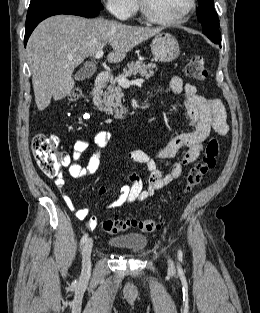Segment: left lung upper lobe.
<instances>
[{
	"label": "left lung upper lobe",
	"instance_id": "1",
	"mask_svg": "<svg viewBox=\"0 0 260 313\" xmlns=\"http://www.w3.org/2000/svg\"><path fill=\"white\" fill-rule=\"evenodd\" d=\"M200 8L197 9V16L203 26V33L214 43L221 42L219 31V20L213 7L214 0H198Z\"/></svg>",
	"mask_w": 260,
	"mask_h": 313
}]
</instances>
